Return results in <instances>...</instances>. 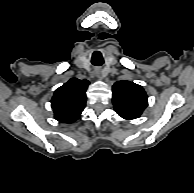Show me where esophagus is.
Instances as JSON below:
<instances>
[{
	"instance_id": "1",
	"label": "esophagus",
	"mask_w": 194,
	"mask_h": 193,
	"mask_svg": "<svg viewBox=\"0 0 194 193\" xmlns=\"http://www.w3.org/2000/svg\"><path fill=\"white\" fill-rule=\"evenodd\" d=\"M96 76H97L98 78H102V77H103L102 74H101L100 72H97V73H96Z\"/></svg>"
}]
</instances>
